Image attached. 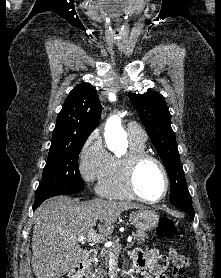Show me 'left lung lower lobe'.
Segmentation results:
<instances>
[{"label":"left lung lower lobe","mask_w":221,"mask_h":278,"mask_svg":"<svg viewBox=\"0 0 221 278\" xmlns=\"http://www.w3.org/2000/svg\"><path fill=\"white\" fill-rule=\"evenodd\" d=\"M174 206L180 208L187 213L192 219H194V210L192 207V201L182 200L172 203Z\"/></svg>","instance_id":"obj_1"}]
</instances>
